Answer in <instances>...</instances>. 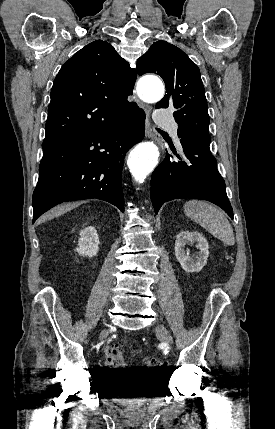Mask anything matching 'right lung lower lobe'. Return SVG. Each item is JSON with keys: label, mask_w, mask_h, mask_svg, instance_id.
<instances>
[{"label": "right lung lower lobe", "mask_w": 275, "mask_h": 429, "mask_svg": "<svg viewBox=\"0 0 275 429\" xmlns=\"http://www.w3.org/2000/svg\"><path fill=\"white\" fill-rule=\"evenodd\" d=\"M145 113L139 107L101 130L43 150L33 193V222L57 204L102 199L124 212L121 174L127 151L142 141Z\"/></svg>", "instance_id": "right-lung-lower-lobe-1"}]
</instances>
